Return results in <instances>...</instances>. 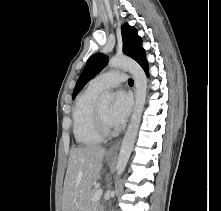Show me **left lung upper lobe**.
<instances>
[{
  "label": "left lung upper lobe",
  "instance_id": "1",
  "mask_svg": "<svg viewBox=\"0 0 221 211\" xmlns=\"http://www.w3.org/2000/svg\"><path fill=\"white\" fill-rule=\"evenodd\" d=\"M121 32L124 53L141 65L146 61V57L145 51L142 47V40L137 35V30L128 23H125L121 26ZM107 61L108 57L102 53H96L88 59L73 91V99L85 84L104 68Z\"/></svg>",
  "mask_w": 221,
  "mask_h": 211
}]
</instances>
